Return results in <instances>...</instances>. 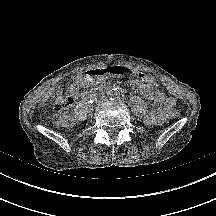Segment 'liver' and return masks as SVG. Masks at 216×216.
I'll use <instances>...</instances> for the list:
<instances>
[{
    "label": "liver",
    "instance_id": "6515ba94",
    "mask_svg": "<svg viewBox=\"0 0 216 216\" xmlns=\"http://www.w3.org/2000/svg\"><path fill=\"white\" fill-rule=\"evenodd\" d=\"M51 92H52V91H50V92L45 96V100H47V99L49 98Z\"/></svg>",
    "mask_w": 216,
    "mask_h": 216
}]
</instances>
